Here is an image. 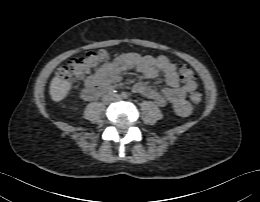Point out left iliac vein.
I'll list each match as a JSON object with an SVG mask.
<instances>
[{"instance_id": "obj_1", "label": "left iliac vein", "mask_w": 260, "mask_h": 202, "mask_svg": "<svg viewBox=\"0 0 260 202\" xmlns=\"http://www.w3.org/2000/svg\"><path fill=\"white\" fill-rule=\"evenodd\" d=\"M115 98H116L117 100H119V99L122 98V96H121V95H117V96H115Z\"/></svg>"}]
</instances>
